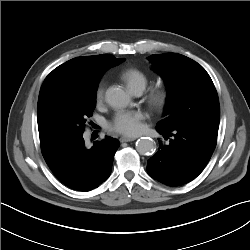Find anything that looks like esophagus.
I'll list each match as a JSON object with an SVG mask.
<instances>
[{
  "label": "esophagus",
  "instance_id": "1",
  "mask_svg": "<svg viewBox=\"0 0 250 250\" xmlns=\"http://www.w3.org/2000/svg\"><path fill=\"white\" fill-rule=\"evenodd\" d=\"M135 138H132V137H126V136H123L120 138V142H131V141H134Z\"/></svg>",
  "mask_w": 250,
  "mask_h": 250
}]
</instances>
